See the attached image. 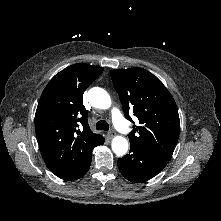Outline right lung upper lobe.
Masks as SVG:
<instances>
[{"label": "right lung upper lobe", "instance_id": "right-lung-upper-lobe-1", "mask_svg": "<svg viewBox=\"0 0 221 221\" xmlns=\"http://www.w3.org/2000/svg\"><path fill=\"white\" fill-rule=\"evenodd\" d=\"M103 70L85 63L71 65L50 80L40 97L35 114L36 136L53 173L90 153L102 140L103 136L89 128L83 93Z\"/></svg>", "mask_w": 221, "mask_h": 221}]
</instances>
